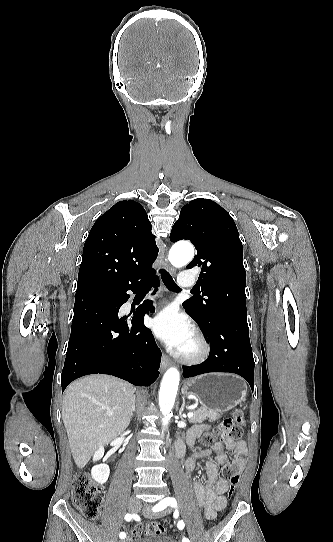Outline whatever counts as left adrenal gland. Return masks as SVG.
Here are the masks:
<instances>
[{"instance_id": "left-adrenal-gland-1", "label": "left adrenal gland", "mask_w": 333, "mask_h": 542, "mask_svg": "<svg viewBox=\"0 0 333 542\" xmlns=\"http://www.w3.org/2000/svg\"><path fill=\"white\" fill-rule=\"evenodd\" d=\"M185 398H186V396H182V402H183V404H182V406H181V408H180V410H179V416H180L181 420H184L182 414H183V412H184V408H185V404H186Z\"/></svg>"}]
</instances>
